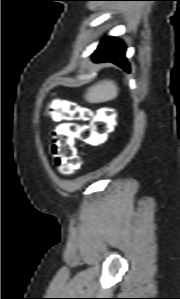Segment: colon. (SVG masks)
<instances>
[{"label": "colon", "instance_id": "5ec220e1", "mask_svg": "<svg viewBox=\"0 0 180 299\" xmlns=\"http://www.w3.org/2000/svg\"><path fill=\"white\" fill-rule=\"evenodd\" d=\"M56 113L68 122L61 124L52 136L51 153L56 168L64 174L75 173L81 167V159L75 142L81 140L88 144L104 142L114 128L115 116L110 109L93 116L89 108L75 103L61 104ZM73 122H84L77 125Z\"/></svg>", "mask_w": 180, "mask_h": 299}]
</instances>
